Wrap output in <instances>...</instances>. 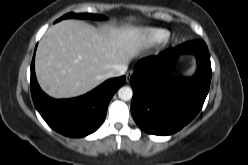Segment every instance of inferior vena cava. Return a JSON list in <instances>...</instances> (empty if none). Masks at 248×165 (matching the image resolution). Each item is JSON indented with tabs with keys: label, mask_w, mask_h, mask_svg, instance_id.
Segmentation results:
<instances>
[{
	"label": "inferior vena cava",
	"mask_w": 248,
	"mask_h": 165,
	"mask_svg": "<svg viewBox=\"0 0 248 165\" xmlns=\"http://www.w3.org/2000/svg\"><path fill=\"white\" fill-rule=\"evenodd\" d=\"M126 71H127V65H119L116 66L114 69H112L107 76L108 78L119 77L124 75Z\"/></svg>",
	"instance_id": "obj_1"
}]
</instances>
